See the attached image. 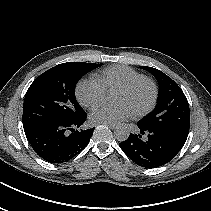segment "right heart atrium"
I'll list each match as a JSON object with an SVG mask.
<instances>
[{
    "instance_id": "obj_1",
    "label": "right heart atrium",
    "mask_w": 211,
    "mask_h": 211,
    "mask_svg": "<svg viewBox=\"0 0 211 211\" xmlns=\"http://www.w3.org/2000/svg\"><path fill=\"white\" fill-rule=\"evenodd\" d=\"M106 89L96 77L80 81L76 87L78 101L86 108L93 109L105 98Z\"/></svg>"
}]
</instances>
